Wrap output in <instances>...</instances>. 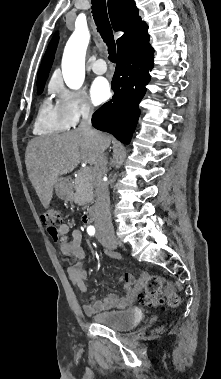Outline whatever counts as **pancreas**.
Returning <instances> with one entry per match:
<instances>
[{"mask_svg":"<svg viewBox=\"0 0 221 379\" xmlns=\"http://www.w3.org/2000/svg\"><path fill=\"white\" fill-rule=\"evenodd\" d=\"M93 179L90 172L82 174V170L78 172L74 180L73 199L81 203L92 202L94 200Z\"/></svg>","mask_w":221,"mask_h":379,"instance_id":"1","label":"pancreas"}]
</instances>
